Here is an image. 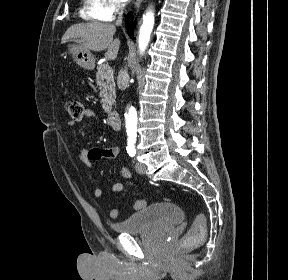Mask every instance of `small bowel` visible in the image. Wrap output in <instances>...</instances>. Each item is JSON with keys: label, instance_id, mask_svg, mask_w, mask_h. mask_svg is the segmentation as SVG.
<instances>
[{"label": "small bowel", "instance_id": "small-bowel-1", "mask_svg": "<svg viewBox=\"0 0 288 280\" xmlns=\"http://www.w3.org/2000/svg\"><path fill=\"white\" fill-rule=\"evenodd\" d=\"M84 116L88 118H96V113L89 109L84 108ZM76 120H70L68 122L69 126H74ZM121 155V150L118 147H104V148H91V149H81L78 153V158L80 161L85 163L87 166H91L92 162L100 159H117ZM122 174L126 179L131 178L130 171L127 167L122 169ZM124 190V185L121 182H116L111 187V193L117 194ZM94 197H100L102 195V190L99 187H95L92 190Z\"/></svg>", "mask_w": 288, "mask_h": 280}]
</instances>
